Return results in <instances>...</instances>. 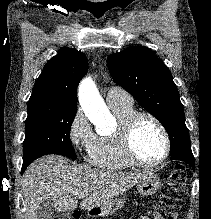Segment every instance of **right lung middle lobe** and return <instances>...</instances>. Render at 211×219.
Wrapping results in <instances>:
<instances>
[{
  "label": "right lung middle lobe",
  "instance_id": "dd1d6c3e",
  "mask_svg": "<svg viewBox=\"0 0 211 219\" xmlns=\"http://www.w3.org/2000/svg\"><path fill=\"white\" fill-rule=\"evenodd\" d=\"M76 109H61L49 103L28 104L23 143V162H32L46 154L76 159L70 140V128Z\"/></svg>",
  "mask_w": 211,
  "mask_h": 219
}]
</instances>
